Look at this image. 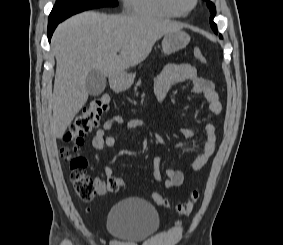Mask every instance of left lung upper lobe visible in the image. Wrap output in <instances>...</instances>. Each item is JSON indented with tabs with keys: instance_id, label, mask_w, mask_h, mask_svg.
I'll return each instance as SVG.
<instances>
[{
	"instance_id": "1",
	"label": "left lung upper lobe",
	"mask_w": 283,
	"mask_h": 245,
	"mask_svg": "<svg viewBox=\"0 0 283 245\" xmlns=\"http://www.w3.org/2000/svg\"><path fill=\"white\" fill-rule=\"evenodd\" d=\"M207 6L209 7L210 12H211L210 25H211L212 29L214 30V32L217 33V26H216V24L213 21L214 16L216 14L215 5L212 2L207 1ZM219 37L222 38L221 35H219Z\"/></svg>"
}]
</instances>
